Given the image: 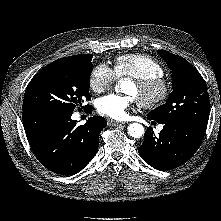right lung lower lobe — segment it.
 <instances>
[{"instance_id": "right-lung-lower-lobe-1", "label": "right lung lower lobe", "mask_w": 221, "mask_h": 221, "mask_svg": "<svg viewBox=\"0 0 221 221\" xmlns=\"http://www.w3.org/2000/svg\"><path fill=\"white\" fill-rule=\"evenodd\" d=\"M72 113L30 108L23 110L28 142L41 164L61 175H74L94 157L101 130L107 126L101 116L84 125L71 119Z\"/></svg>"}]
</instances>
